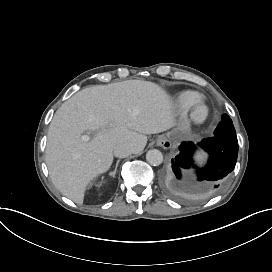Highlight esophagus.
Instances as JSON below:
<instances>
[{"label":"esophagus","instance_id":"esophagus-1","mask_svg":"<svg viewBox=\"0 0 272 272\" xmlns=\"http://www.w3.org/2000/svg\"><path fill=\"white\" fill-rule=\"evenodd\" d=\"M156 144L164 149L171 147V141L166 137V135H160L157 138Z\"/></svg>","mask_w":272,"mask_h":272}]
</instances>
